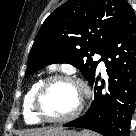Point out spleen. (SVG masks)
<instances>
[{"instance_id":"1","label":"spleen","mask_w":136,"mask_h":136,"mask_svg":"<svg viewBox=\"0 0 136 136\" xmlns=\"http://www.w3.org/2000/svg\"><path fill=\"white\" fill-rule=\"evenodd\" d=\"M81 136H98V135L89 131H83Z\"/></svg>"}]
</instances>
